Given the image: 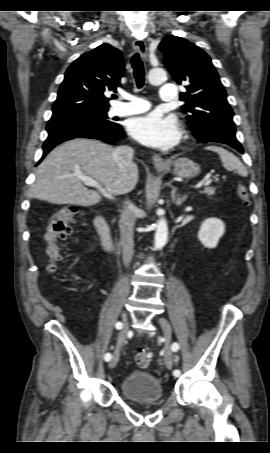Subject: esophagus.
Segmentation results:
<instances>
[{
	"label": "esophagus",
	"mask_w": 270,
	"mask_h": 453,
	"mask_svg": "<svg viewBox=\"0 0 270 453\" xmlns=\"http://www.w3.org/2000/svg\"><path fill=\"white\" fill-rule=\"evenodd\" d=\"M133 48L138 51L143 57L146 56L147 53V46L144 40H134L133 41ZM153 165L156 168H163L166 167L168 164L167 162L159 155L155 154L152 157Z\"/></svg>",
	"instance_id": "obj_1"
}]
</instances>
